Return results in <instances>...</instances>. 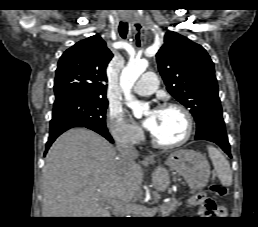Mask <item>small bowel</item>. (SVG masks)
I'll return each instance as SVG.
<instances>
[{
  "label": "small bowel",
  "mask_w": 258,
  "mask_h": 227,
  "mask_svg": "<svg viewBox=\"0 0 258 227\" xmlns=\"http://www.w3.org/2000/svg\"><path fill=\"white\" fill-rule=\"evenodd\" d=\"M191 203L200 204L199 215L203 217L212 214L222 215L226 212L224 207L216 206L215 202L204 193L194 196Z\"/></svg>",
  "instance_id": "1"
}]
</instances>
